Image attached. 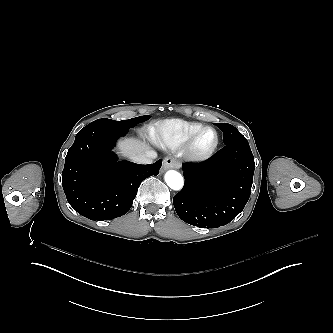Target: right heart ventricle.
<instances>
[{
    "label": "right heart ventricle",
    "instance_id": "obj_1",
    "mask_svg": "<svg viewBox=\"0 0 333 333\" xmlns=\"http://www.w3.org/2000/svg\"><path fill=\"white\" fill-rule=\"evenodd\" d=\"M201 126L200 122L173 119L152 128L149 131V137L162 147L177 149Z\"/></svg>",
    "mask_w": 333,
    "mask_h": 333
}]
</instances>
